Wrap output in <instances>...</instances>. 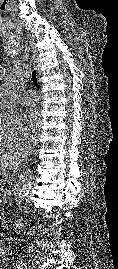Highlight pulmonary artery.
<instances>
[{
  "mask_svg": "<svg viewBox=\"0 0 118 269\" xmlns=\"http://www.w3.org/2000/svg\"><path fill=\"white\" fill-rule=\"evenodd\" d=\"M39 98L33 90H28L22 97V104L25 106H31L38 102Z\"/></svg>",
  "mask_w": 118,
  "mask_h": 269,
  "instance_id": "pulmonary-artery-1",
  "label": "pulmonary artery"
}]
</instances>
